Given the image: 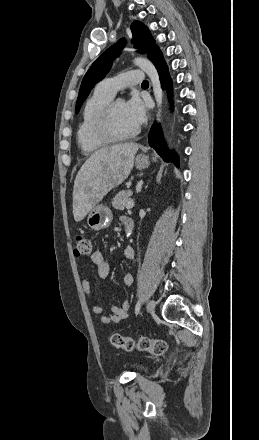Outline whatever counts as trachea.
<instances>
[{"label": "trachea", "instance_id": "1", "mask_svg": "<svg viewBox=\"0 0 259 440\" xmlns=\"http://www.w3.org/2000/svg\"><path fill=\"white\" fill-rule=\"evenodd\" d=\"M149 83H148V81H143V83H142V85H148Z\"/></svg>", "mask_w": 259, "mask_h": 440}]
</instances>
